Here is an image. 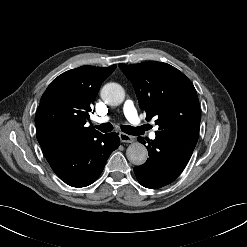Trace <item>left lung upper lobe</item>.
Instances as JSON below:
<instances>
[{"label": "left lung upper lobe", "instance_id": "left-lung-upper-lobe-1", "mask_svg": "<svg viewBox=\"0 0 247 247\" xmlns=\"http://www.w3.org/2000/svg\"><path fill=\"white\" fill-rule=\"evenodd\" d=\"M134 85L139 107L155 118L157 136L186 137L197 142L201 119L197 92L175 67L162 62L119 64Z\"/></svg>", "mask_w": 247, "mask_h": 247}]
</instances>
